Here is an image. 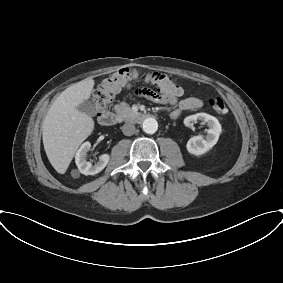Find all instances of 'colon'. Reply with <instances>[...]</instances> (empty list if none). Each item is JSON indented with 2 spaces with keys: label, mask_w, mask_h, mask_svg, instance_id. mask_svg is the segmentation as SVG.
I'll return each instance as SVG.
<instances>
[{
  "label": "colon",
  "mask_w": 283,
  "mask_h": 283,
  "mask_svg": "<svg viewBox=\"0 0 283 283\" xmlns=\"http://www.w3.org/2000/svg\"><path fill=\"white\" fill-rule=\"evenodd\" d=\"M135 77L136 72L128 68H121L105 78L92 96V103L96 111L99 113L103 112L112 101L115 92ZM145 80L154 84L157 88V91L146 88L139 89L138 93L146 97L154 96L159 100H164L176 93L174 82L165 74L158 72L147 74ZM208 104L219 114H225L227 112L226 104L220 97L209 98Z\"/></svg>",
  "instance_id": "obj_1"
}]
</instances>
